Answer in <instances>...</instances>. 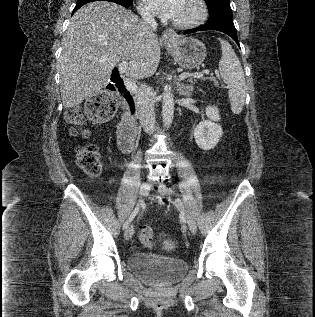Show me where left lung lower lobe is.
<instances>
[{
    "label": "left lung lower lobe",
    "instance_id": "1",
    "mask_svg": "<svg viewBox=\"0 0 315 317\" xmlns=\"http://www.w3.org/2000/svg\"><path fill=\"white\" fill-rule=\"evenodd\" d=\"M204 30L221 31V32L229 35L238 44V46H240L238 38H237L236 29H235L233 22H223V23H219V24H212V23H209L207 21L206 24H204L200 27L186 30L184 32V34H189V33L197 32V31H204Z\"/></svg>",
    "mask_w": 315,
    "mask_h": 317
}]
</instances>
